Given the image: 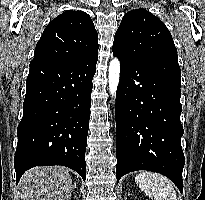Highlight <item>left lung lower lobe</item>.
<instances>
[{
	"instance_id": "obj_1",
	"label": "left lung lower lobe",
	"mask_w": 205,
	"mask_h": 200,
	"mask_svg": "<svg viewBox=\"0 0 205 200\" xmlns=\"http://www.w3.org/2000/svg\"><path fill=\"white\" fill-rule=\"evenodd\" d=\"M121 64L116 93V178L136 170L167 176L183 191L181 71L175 54L143 59L113 49Z\"/></svg>"
}]
</instances>
